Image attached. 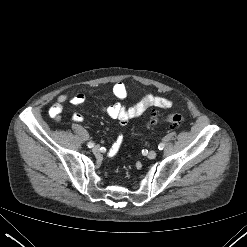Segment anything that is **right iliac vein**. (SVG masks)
<instances>
[{
	"label": "right iliac vein",
	"instance_id": "right-iliac-vein-1",
	"mask_svg": "<svg viewBox=\"0 0 247 247\" xmlns=\"http://www.w3.org/2000/svg\"><path fill=\"white\" fill-rule=\"evenodd\" d=\"M99 151H100V147H99L98 145H96V146H94V147L92 148V152H93L94 154L99 153Z\"/></svg>",
	"mask_w": 247,
	"mask_h": 247
}]
</instances>
